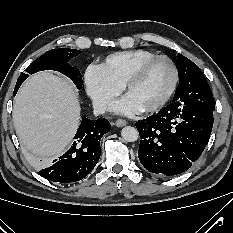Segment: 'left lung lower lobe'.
Masks as SVG:
<instances>
[{
  "mask_svg": "<svg viewBox=\"0 0 233 233\" xmlns=\"http://www.w3.org/2000/svg\"><path fill=\"white\" fill-rule=\"evenodd\" d=\"M212 125L213 110L179 105L178 102L137 121L141 164L162 177L188 170L202 154Z\"/></svg>",
  "mask_w": 233,
  "mask_h": 233,
  "instance_id": "left-lung-lower-lobe-1",
  "label": "left lung lower lobe"
}]
</instances>
